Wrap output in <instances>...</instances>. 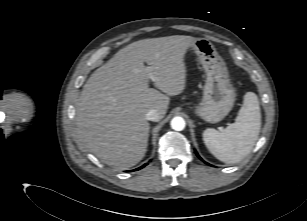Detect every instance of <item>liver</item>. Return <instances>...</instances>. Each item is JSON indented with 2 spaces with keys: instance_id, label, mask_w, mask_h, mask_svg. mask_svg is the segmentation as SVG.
<instances>
[{
  "instance_id": "obj_1",
  "label": "liver",
  "mask_w": 307,
  "mask_h": 221,
  "mask_svg": "<svg viewBox=\"0 0 307 221\" xmlns=\"http://www.w3.org/2000/svg\"><path fill=\"white\" fill-rule=\"evenodd\" d=\"M194 40L175 35L136 41L95 70L76 104L80 142L109 166L124 170L140 162L148 145L146 114L155 109L164 118L169 96L185 89L184 56Z\"/></svg>"
}]
</instances>
